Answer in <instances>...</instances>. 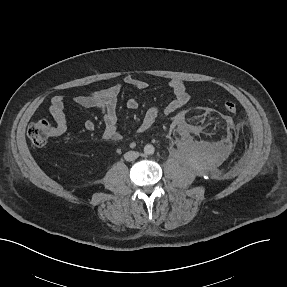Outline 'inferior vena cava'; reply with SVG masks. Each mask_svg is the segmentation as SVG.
<instances>
[{
    "label": "inferior vena cava",
    "instance_id": "inferior-vena-cava-1",
    "mask_svg": "<svg viewBox=\"0 0 287 287\" xmlns=\"http://www.w3.org/2000/svg\"><path fill=\"white\" fill-rule=\"evenodd\" d=\"M139 157V153L135 151H128L124 154L126 161H133Z\"/></svg>",
    "mask_w": 287,
    "mask_h": 287
}]
</instances>
